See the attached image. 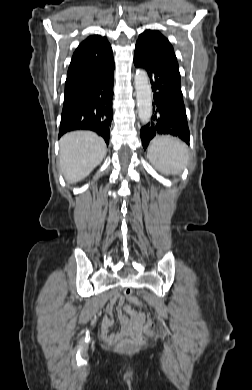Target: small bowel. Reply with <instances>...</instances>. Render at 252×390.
Returning <instances> with one entry per match:
<instances>
[{"label":"small bowel","mask_w":252,"mask_h":390,"mask_svg":"<svg viewBox=\"0 0 252 390\" xmlns=\"http://www.w3.org/2000/svg\"><path fill=\"white\" fill-rule=\"evenodd\" d=\"M118 301L119 309H118V320L121 323V330L115 334H112V338H119L122 336H127L133 333H140L142 329H146L147 324L144 325L145 315L141 311H136L132 309L128 305H123L124 298L118 294H113L112 301L106 306V316L103 321V331L105 333H110V328L112 326V309L113 303Z\"/></svg>","instance_id":"obj_1"}]
</instances>
